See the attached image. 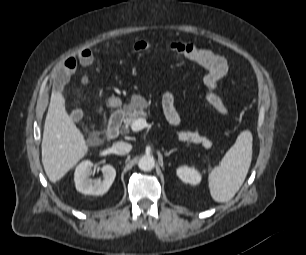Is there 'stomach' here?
Returning <instances> with one entry per match:
<instances>
[{
    "instance_id": "1",
    "label": "stomach",
    "mask_w": 306,
    "mask_h": 255,
    "mask_svg": "<svg viewBox=\"0 0 306 255\" xmlns=\"http://www.w3.org/2000/svg\"><path fill=\"white\" fill-rule=\"evenodd\" d=\"M121 100L118 97L112 96L107 100V104L111 107L121 106Z\"/></svg>"
}]
</instances>
